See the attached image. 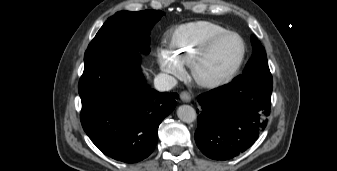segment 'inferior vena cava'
Returning <instances> with one entry per match:
<instances>
[{"mask_svg": "<svg viewBox=\"0 0 337 171\" xmlns=\"http://www.w3.org/2000/svg\"><path fill=\"white\" fill-rule=\"evenodd\" d=\"M177 84V80L165 73L158 74L154 79V86L158 91H169Z\"/></svg>", "mask_w": 337, "mask_h": 171, "instance_id": "602c4592", "label": "inferior vena cava"}]
</instances>
